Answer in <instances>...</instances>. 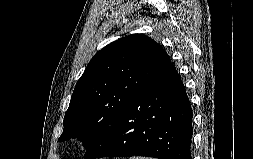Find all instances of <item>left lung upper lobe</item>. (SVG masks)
Here are the masks:
<instances>
[{
  "label": "left lung upper lobe",
  "mask_w": 253,
  "mask_h": 159,
  "mask_svg": "<svg viewBox=\"0 0 253 159\" xmlns=\"http://www.w3.org/2000/svg\"><path fill=\"white\" fill-rule=\"evenodd\" d=\"M170 63L166 51L142 34L123 37L104 47L94 55L76 84L59 141H83L85 159H92L124 107Z\"/></svg>",
  "instance_id": "obj_1"
}]
</instances>
